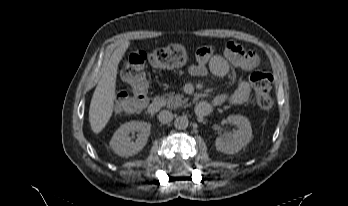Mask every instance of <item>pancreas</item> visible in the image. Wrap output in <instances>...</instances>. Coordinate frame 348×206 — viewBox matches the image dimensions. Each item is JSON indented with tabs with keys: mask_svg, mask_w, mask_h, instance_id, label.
Returning <instances> with one entry per match:
<instances>
[{
	"mask_svg": "<svg viewBox=\"0 0 348 206\" xmlns=\"http://www.w3.org/2000/svg\"><path fill=\"white\" fill-rule=\"evenodd\" d=\"M161 99L165 102L168 108L181 107L188 101V99L184 98L183 95L174 94V93L163 95Z\"/></svg>",
	"mask_w": 348,
	"mask_h": 206,
	"instance_id": "pancreas-1",
	"label": "pancreas"
}]
</instances>
